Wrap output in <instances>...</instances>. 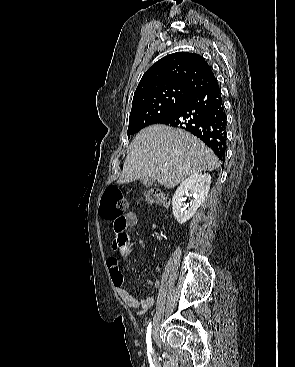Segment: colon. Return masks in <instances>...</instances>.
<instances>
[{"mask_svg": "<svg viewBox=\"0 0 295 367\" xmlns=\"http://www.w3.org/2000/svg\"><path fill=\"white\" fill-rule=\"evenodd\" d=\"M146 199L151 203L156 204H168V199L165 195L158 189H150L146 193ZM127 208V201L122 193V191L115 185L108 186L103 194L102 199V217L104 219L111 220L113 222L119 221L124 211ZM125 236L122 237V242H124Z\"/></svg>", "mask_w": 295, "mask_h": 367, "instance_id": "1", "label": "colon"}]
</instances>
